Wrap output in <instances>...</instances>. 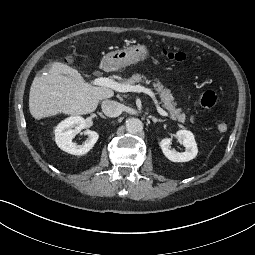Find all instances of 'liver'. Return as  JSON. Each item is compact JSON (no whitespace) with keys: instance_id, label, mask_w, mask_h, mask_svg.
<instances>
[{"instance_id":"6515ba94","label":"liver","mask_w":255,"mask_h":255,"mask_svg":"<svg viewBox=\"0 0 255 255\" xmlns=\"http://www.w3.org/2000/svg\"><path fill=\"white\" fill-rule=\"evenodd\" d=\"M113 95L111 89L92 86L77 70L56 62L46 73L34 78L29 94V110L36 120L59 113L85 115L95 111L100 100Z\"/></svg>"}]
</instances>
